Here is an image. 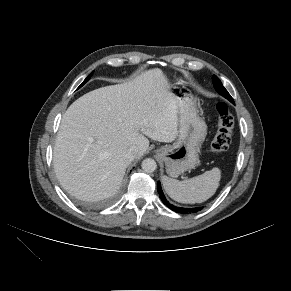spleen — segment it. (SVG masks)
Returning <instances> with one entry per match:
<instances>
[{
    "label": "spleen",
    "mask_w": 291,
    "mask_h": 291,
    "mask_svg": "<svg viewBox=\"0 0 291 291\" xmlns=\"http://www.w3.org/2000/svg\"><path fill=\"white\" fill-rule=\"evenodd\" d=\"M221 179L219 168H213L205 173L184 180L178 181L163 176L162 183L170 198L185 204L202 203L212 197Z\"/></svg>",
    "instance_id": "1"
}]
</instances>
